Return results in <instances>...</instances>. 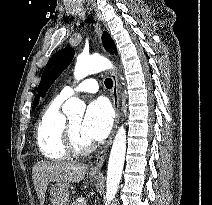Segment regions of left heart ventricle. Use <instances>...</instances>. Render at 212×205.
Segmentation results:
<instances>
[{
	"mask_svg": "<svg viewBox=\"0 0 212 205\" xmlns=\"http://www.w3.org/2000/svg\"><path fill=\"white\" fill-rule=\"evenodd\" d=\"M70 124H71L72 130H73V132H74V135H75L77 141H78L80 144H87V143L90 142V141L82 134V131H81L82 117H81V116L74 117V118L70 119Z\"/></svg>",
	"mask_w": 212,
	"mask_h": 205,
	"instance_id": "obj_1",
	"label": "left heart ventricle"
}]
</instances>
